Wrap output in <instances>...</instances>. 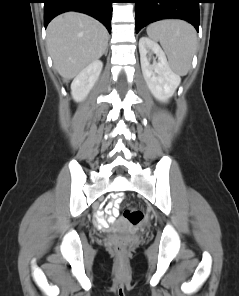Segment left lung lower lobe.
<instances>
[{
    "mask_svg": "<svg viewBox=\"0 0 239 296\" xmlns=\"http://www.w3.org/2000/svg\"><path fill=\"white\" fill-rule=\"evenodd\" d=\"M135 3L136 33L149 23L177 18L191 23L199 31L200 0H132Z\"/></svg>",
    "mask_w": 239,
    "mask_h": 296,
    "instance_id": "left-lung-lower-lobe-1",
    "label": "left lung lower lobe"
}]
</instances>
